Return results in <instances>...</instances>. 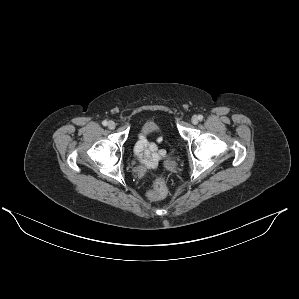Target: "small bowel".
Instances as JSON below:
<instances>
[{"label": "small bowel", "mask_w": 299, "mask_h": 299, "mask_svg": "<svg viewBox=\"0 0 299 299\" xmlns=\"http://www.w3.org/2000/svg\"><path fill=\"white\" fill-rule=\"evenodd\" d=\"M161 140L149 141L146 137H141L135 145V153L140 161L147 168L156 167L163 155V150L159 147Z\"/></svg>", "instance_id": "obj_1"}]
</instances>
